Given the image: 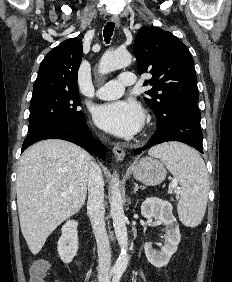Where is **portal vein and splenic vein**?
<instances>
[{
  "label": "portal vein and splenic vein",
  "instance_id": "portal-vein-and-splenic-vein-1",
  "mask_svg": "<svg viewBox=\"0 0 232 282\" xmlns=\"http://www.w3.org/2000/svg\"><path fill=\"white\" fill-rule=\"evenodd\" d=\"M173 188H175V189H177V190L179 189V188L177 187V183H173ZM61 195H62V196H66V194H64V193L61 194Z\"/></svg>",
  "mask_w": 232,
  "mask_h": 282
}]
</instances>
